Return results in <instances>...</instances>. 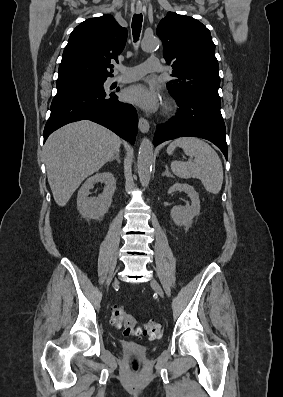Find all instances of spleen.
I'll return each instance as SVG.
<instances>
[{
    "mask_svg": "<svg viewBox=\"0 0 283 397\" xmlns=\"http://www.w3.org/2000/svg\"><path fill=\"white\" fill-rule=\"evenodd\" d=\"M177 147L195 159L171 162L172 172L183 179L197 178L209 193L218 194L223 183V167L216 151L208 143L195 137L174 140L167 148V153L171 155Z\"/></svg>",
    "mask_w": 283,
    "mask_h": 397,
    "instance_id": "spleen-1",
    "label": "spleen"
}]
</instances>
